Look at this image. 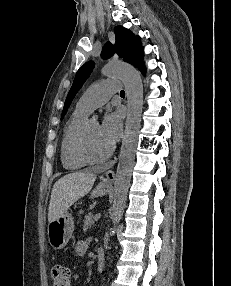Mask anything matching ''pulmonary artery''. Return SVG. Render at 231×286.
<instances>
[{
    "label": "pulmonary artery",
    "instance_id": "obj_1",
    "mask_svg": "<svg viewBox=\"0 0 231 286\" xmlns=\"http://www.w3.org/2000/svg\"><path fill=\"white\" fill-rule=\"evenodd\" d=\"M119 90L120 82L118 80L101 81L84 92L77 103V108L90 113L104 105Z\"/></svg>",
    "mask_w": 231,
    "mask_h": 286
}]
</instances>
